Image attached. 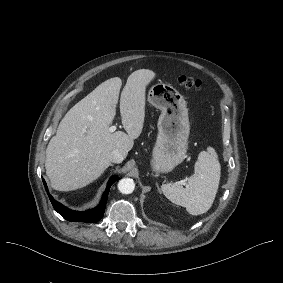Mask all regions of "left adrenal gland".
<instances>
[{
    "mask_svg": "<svg viewBox=\"0 0 283 283\" xmlns=\"http://www.w3.org/2000/svg\"><path fill=\"white\" fill-rule=\"evenodd\" d=\"M156 186H157V188H158L159 193H161V189H160V187H159V185H158L157 182H156Z\"/></svg>",
    "mask_w": 283,
    "mask_h": 283,
    "instance_id": "a2214340",
    "label": "left adrenal gland"
}]
</instances>
